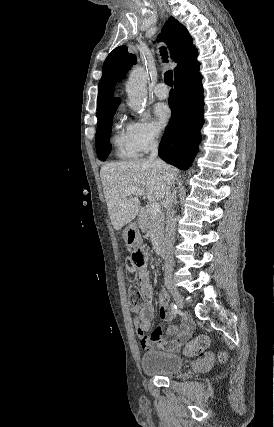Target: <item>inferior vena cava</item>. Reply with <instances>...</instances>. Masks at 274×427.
Wrapping results in <instances>:
<instances>
[{"instance_id":"602c4592","label":"inferior vena cava","mask_w":274,"mask_h":427,"mask_svg":"<svg viewBox=\"0 0 274 427\" xmlns=\"http://www.w3.org/2000/svg\"><path fill=\"white\" fill-rule=\"evenodd\" d=\"M157 136H152L149 140V150L150 156L149 160H155L158 156V142L156 140ZM171 184V182H170ZM173 184V182H172ZM165 204L167 206V214H166V229H165V237H164V245L166 251H170L171 247H173L174 239H175V227H176V219L174 217V198L171 192V188H167L164 196ZM165 263H172V259H165Z\"/></svg>"}]
</instances>
